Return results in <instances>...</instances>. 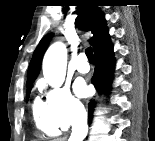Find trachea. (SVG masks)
Listing matches in <instances>:
<instances>
[{
	"label": "trachea",
	"instance_id": "3493384b",
	"mask_svg": "<svg viewBox=\"0 0 155 141\" xmlns=\"http://www.w3.org/2000/svg\"><path fill=\"white\" fill-rule=\"evenodd\" d=\"M86 56H87L89 62L94 63L95 59H94L92 47H88L86 49Z\"/></svg>",
	"mask_w": 155,
	"mask_h": 141
}]
</instances>
